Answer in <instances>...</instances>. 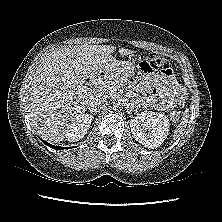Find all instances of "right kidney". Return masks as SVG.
<instances>
[{
  "label": "right kidney",
  "mask_w": 222,
  "mask_h": 222,
  "mask_svg": "<svg viewBox=\"0 0 222 222\" xmlns=\"http://www.w3.org/2000/svg\"><path fill=\"white\" fill-rule=\"evenodd\" d=\"M91 122L92 116L89 114L76 117L66 131V139L70 142L82 139L87 134Z\"/></svg>",
  "instance_id": "right-kidney-1"
}]
</instances>
